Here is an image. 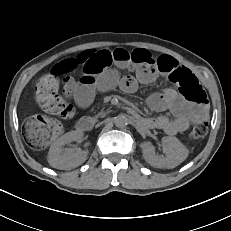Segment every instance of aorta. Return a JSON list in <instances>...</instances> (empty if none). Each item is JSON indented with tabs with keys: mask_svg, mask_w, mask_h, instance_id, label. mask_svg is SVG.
<instances>
[{
	"mask_svg": "<svg viewBox=\"0 0 231 231\" xmlns=\"http://www.w3.org/2000/svg\"><path fill=\"white\" fill-rule=\"evenodd\" d=\"M114 124L119 127H125L128 124V119L124 115H118L114 118Z\"/></svg>",
	"mask_w": 231,
	"mask_h": 231,
	"instance_id": "obj_1",
	"label": "aorta"
}]
</instances>
